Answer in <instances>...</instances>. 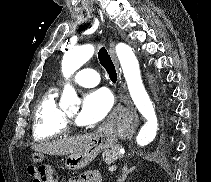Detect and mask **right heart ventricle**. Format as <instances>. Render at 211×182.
I'll use <instances>...</instances> for the list:
<instances>
[{
    "instance_id": "right-heart-ventricle-1",
    "label": "right heart ventricle",
    "mask_w": 211,
    "mask_h": 182,
    "mask_svg": "<svg viewBox=\"0 0 211 182\" xmlns=\"http://www.w3.org/2000/svg\"><path fill=\"white\" fill-rule=\"evenodd\" d=\"M58 91H46L38 101L34 116L32 135L35 141H49L65 134L64 112L57 103Z\"/></svg>"
}]
</instances>
